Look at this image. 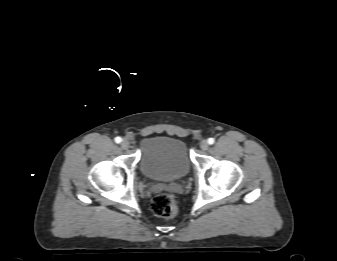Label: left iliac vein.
<instances>
[{
	"label": "left iliac vein",
	"instance_id": "4c4485c4",
	"mask_svg": "<svg viewBox=\"0 0 337 261\" xmlns=\"http://www.w3.org/2000/svg\"><path fill=\"white\" fill-rule=\"evenodd\" d=\"M208 147H209L208 142H207L206 140H202L201 143H200V148H201L202 150H207Z\"/></svg>",
	"mask_w": 337,
	"mask_h": 261
}]
</instances>
